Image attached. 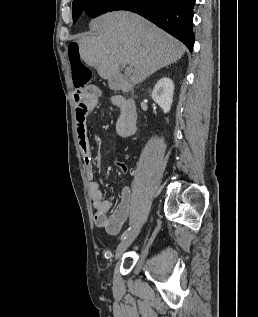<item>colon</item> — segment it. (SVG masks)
I'll return each mask as SVG.
<instances>
[{
  "label": "colon",
  "mask_w": 258,
  "mask_h": 317,
  "mask_svg": "<svg viewBox=\"0 0 258 317\" xmlns=\"http://www.w3.org/2000/svg\"><path fill=\"white\" fill-rule=\"evenodd\" d=\"M67 56L72 71V79L75 88H85L92 80L91 69L83 62L80 55V46L77 42H71L67 46Z\"/></svg>",
  "instance_id": "colon-1"
}]
</instances>
